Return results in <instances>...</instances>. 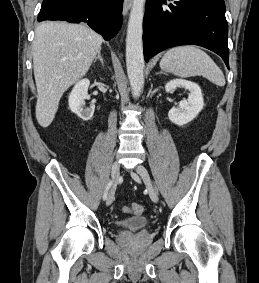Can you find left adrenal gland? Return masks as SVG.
<instances>
[{"label": "left adrenal gland", "instance_id": "a2214340", "mask_svg": "<svg viewBox=\"0 0 259 283\" xmlns=\"http://www.w3.org/2000/svg\"><path fill=\"white\" fill-rule=\"evenodd\" d=\"M157 74H163V71L158 72Z\"/></svg>", "mask_w": 259, "mask_h": 283}]
</instances>
